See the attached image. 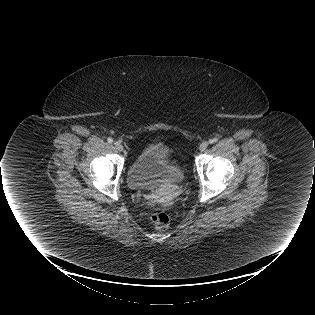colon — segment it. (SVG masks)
<instances>
[{"instance_id":"colon-1","label":"colon","mask_w":315,"mask_h":315,"mask_svg":"<svg viewBox=\"0 0 315 315\" xmlns=\"http://www.w3.org/2000/svg\"><path fill=\"white\" fill-rule=\"evenodd\" d=\"M150 222L157 230H166L170 226V218L164 212H154L149 217Z\"/></svg>"}]
</instances>
